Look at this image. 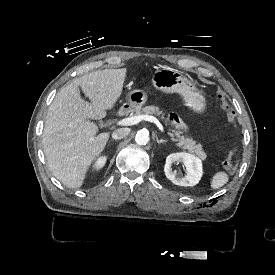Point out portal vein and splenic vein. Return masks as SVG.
<instances>
[{
	"label": "portal vein and splenic vein",
	"instance_id": "1",
	"mask_svg": "<svg viewBox=\"0 0 275 275\" xmlns=\"http://www.w3.org/2000/svg\"><path fill=\"white\" fill-rule=\"evenodd\" d=\"M142 120L155 123L157 125V127L162 132L164 131L163 125L159 122V120L156 117L151 116V115H138V116H132V117L124 118V119H122V120H120L118 122V125H121V126H131V125L138 124Z\"/></svg>",
	"mask_w": 275,
	"mask_h": 275
}]
</instances>
